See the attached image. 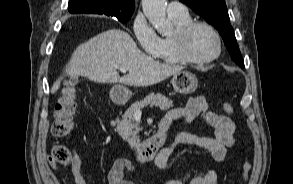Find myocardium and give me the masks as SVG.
<instances>
[{"mask_svg": "<svg viewBox=\"0 0 293 184\" xmlns=\"http://www.w3.org/2000/svg\"><path fill=\"white\" fill-rule=\"evenodd\" d=\"M197 27L207 28L213 34L216 40V45H217L216 52L207 58H202V59L194 58L187 51L188 38L190 34L192 33V31L196 29ZM172 40H173V47H174L176 56L182 62L189 63V64L202 65V64L210 63L216 60L221 55V52H222V40H221L220 34L211 24L205 21H191L188 24L178 28L173 33Z\"/></svg>", "mask_w": 293, "mask_h": 184, "instance_id": "myocardium-1", "label": "myocardium"}]
</instances>
